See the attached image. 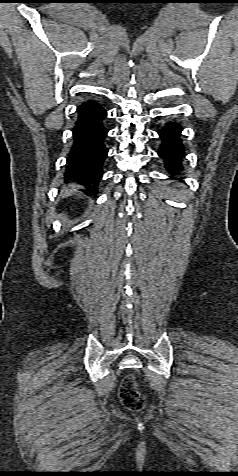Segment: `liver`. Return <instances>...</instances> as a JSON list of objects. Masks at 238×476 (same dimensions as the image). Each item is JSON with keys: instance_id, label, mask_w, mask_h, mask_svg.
<instances>
[{"instance_id": "6515ba94", "label": "liver", "mask_w": 238, "mask_h": 476, "mask_svg": "<svg viewBox=\"0 0 238 476\" xmlns=\"http://www.w3.org/2000/svg\"><path fill=\"white\" fill-rule=\"evenodd\" d=\"M69 187H70V189H63L62 190V193H61L62 198H65V197H68V196L72 195L73 193L77 192V190L79 189L78 185L71 184Z\"/></svg>"}]
</instances>
